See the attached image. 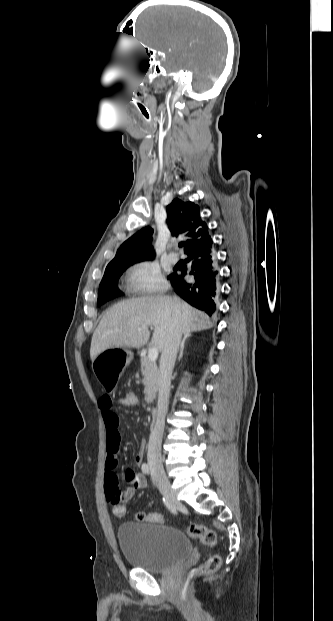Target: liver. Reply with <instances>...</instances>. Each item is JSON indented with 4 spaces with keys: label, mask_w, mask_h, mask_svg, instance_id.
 Wrapping results in <instances>:
<instances>
[{
    "label": "liver",
    "mask_w": 333,
    "mask_h": 621,
    "mask_svg": "<svg viewBox=\"0 0 333 621\" xmlns=\"http://www.w3.org/2000/svg\"><path fill=\"white\" fill-rule=\"evenodd\" d=\"M174 320H177L182 333L188 336L213 326L207 314L177 298L143 296L123 300L104 314L94 331L90 358L94 361L100 353L112 348H141L149 340V326L154 327L152 343L157 350L163 351Z\"/></svg>",
    "instance_id": "6515ba94"
}]
</instances>
